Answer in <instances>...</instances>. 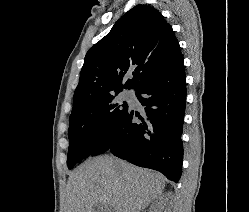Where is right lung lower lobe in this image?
I'll list each match as a JSON object with an SVG mask.
<instances>
[{
  "label": "right lung lower lobe",
  "mask_w": 249,
  "mask_h": 212,
  "mask_svg": "<svg viewBox=\"0 0 249 212\" xmlns=\"http://www.w3.org/2000/svg\"><path fill=\"white\" fill-rule=\"evenodd\" d=\"M136 97L145 106L144 118L128 108L109 131L97 155L110 151L177 183L182 172L181 135L186 104L183 55L138 87ZM135 116L142 123H134Z\"/></svg>",
  "instance_id": "98d812e1"
}]
</instances>
